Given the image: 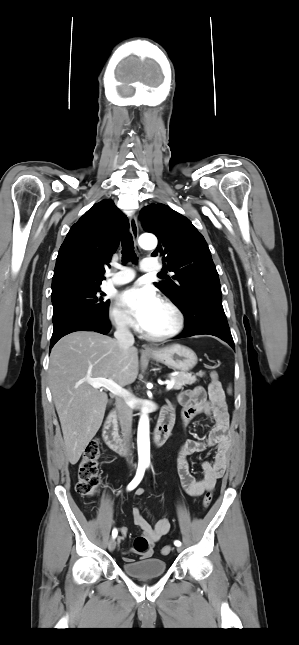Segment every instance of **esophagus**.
Here are the masks:
<instances>
[{
	"label": "esophagus",
	"mask_w": 299,
	"mask_h": 645,
	"mask_svg": "<svg viewBox=\"0 0 299 645\" xmlns=\"http://www.w3.org/2000/svg\"><path fill=\"white\" fill-rule=\"evenodd\" d=\"M129 223H130V232H131V234H132V236H133V238H134L135 242H137V240H138V235H139V229H138V224H137L136 217H135L134 215H132V216L130 217ZM152 352H154V350H153V348H151L150 346H148V345H144V346L142 347V353H144V354H150V353H152Z\"/></svg>",
	"instance_id": "1"
}]
</instances>
